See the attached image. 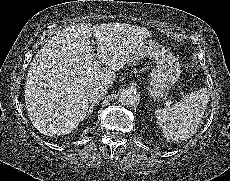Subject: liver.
<instances>
[{
  "mask_svg": "<svg viewBox=\"0 0 230 181\" xmlns=\"http://www.w3.org/2000/svg\"><path fill=\"white\" fill-rule=\"evenodd\" d=\"M150 34L145 28L117 23H81L58 32L38 52L27 74L25 103L33 125L46 135L74 130L88 113L87 91L112 86L115 72L130 58L132 44ZM95 56L106 67L94 66Z\"/></svg>",
  "mask_w": 230,
  "mask_h": 181,
  "instance_id": "liver-1",
  "label": "liver"
}]
</instances>
